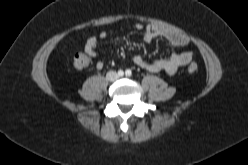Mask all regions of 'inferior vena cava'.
<instances>
[{
  "label": "inferior vena cava",
  "instance_id": "inferior-vena-cava-1",
  "mask_svg": "<svg viewBox=\"0 0 248 165\" xmlns=\"http://www.w3.org/2000/svg\"><path fill=\"white\" fill-rule=\"evenodd\" d=\"M107 78L109 79V80H111V81H114V80H116L117 78H118V75H117V73L116 72H108L107 73Z\"/></svg>",
  "mask_w": 248,
  "mask_h": 165
}]
</instances>
